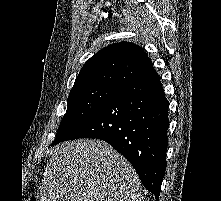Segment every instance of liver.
<instances>
[{"label":"liver","mask_w":221,"mask_h":201,"mask_svg":"<svg viewBox=\"0 0 221 201\" xmlns=\"http://www.w3.org/2000/svg\"><path fill=\"white\" fill-rule=\"evenodd\" d=\"M40 201H143L131 164L101 140H74L57 146L46 166Z\"/></svg>","instance_id":"6515ba94"}]
</instances>
